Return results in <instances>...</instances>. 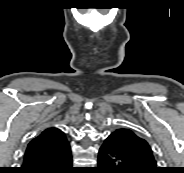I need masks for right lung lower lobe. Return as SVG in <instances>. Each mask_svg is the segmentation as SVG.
I'll return each mask as SVG.
<instances>
[{
  "label": "right lung lower lobe",
  "mask_w": 184,
  "mask_h": 173,
  "mask_svg": "<svg viewBox=\"0 0 184 173\" xmlns=\"http://www.w3.org/2000/svg\"><path fill=\"white\" fill-rule=\"evenodd\" d=\"M18 173H77V170L72 167L69 147L57 155L24 162Z\"/></svg>",
  "instance_id": "right-lung-lower-lobe-1"
}]
</instances>
